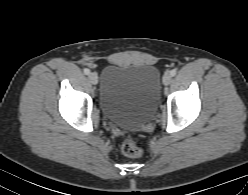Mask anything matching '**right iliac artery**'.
Returning a JSON list of instances; mask_svg holds the SVG:
<instances>
[{"label":"right iliac artery","mask_w":248,"mask_h":195,"mask_svg":"<svg viewBox=\"0 0 248 195\" xmlns=\"http://www.w3.org/2000/svg\"><path fill=\"white\" fill-rule=\"evenodd\" d=\"M84 74H86V75H88V74H90V70L89 69H84Z\"/></svg>","instance_id":"82829eb1"}]
</instances>
